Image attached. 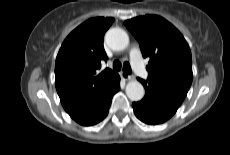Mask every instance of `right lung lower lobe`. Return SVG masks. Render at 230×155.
Listing matches in <instances>:
<instances>
[{"instance_id": "98d812e1", "label": "right lung lower lobe", "mask_w": 230, "mask_h": 155, "mask_svg": "<svg viewBox=\"0 0 230 155\" xmlns=\"http://www.w3.org/2000/svg\"><path fill=\"white\" fill-rule=\"evenodd\" d=\"M120 89V77L114 79L108 91L97 101L74 112L68 113L77 123L90 126L102 121L108 114L113 95Z\"/></svg>"}]
</instances>
